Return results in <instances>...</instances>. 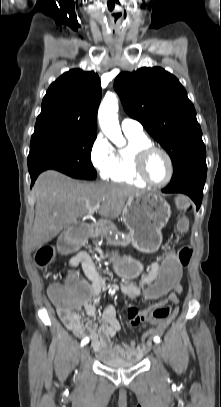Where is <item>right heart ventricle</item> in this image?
Here are the masks:
<instances>
[{
	"label": "right heart ventricle",
	"mask_w": 221,
	"mask_h": 407,
	"mask_svg": "<svg viewBox=\"0 0 221 407\" xmlns=\"http://www.w3.org/2000/svg\"><path fill=\"white\" fill-rule=\"evenodd\" d=\"M125 135L128 143L115 151L113 168L109 178L115 182L143 187L146 183L137 175L134 159L138 150L152 145L151 140L144 133H125Z\"/></svg>",
	"instance_id": "1"
}]
</instances>
